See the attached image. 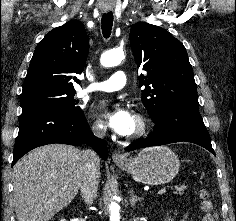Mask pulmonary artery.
I'll return each mask as SVG.
<instances>
[{"mask_svg": "<svg viewBox=\"0 0 236 221\" xmlns=\"http://www.w3.org/2000/svg\"><path fill=\"white\" fill-rule=\"evenodd\" d=\"M127 81V75L124 71H116L106 80L93 83L82 91L83 94L94 91L112 92L122 89Z\"/></svg>", "mask_w": 236, "mask_h": 221, "instance_id": "e3ab8cb5", "label": "pulmonary artery"}]
</instances>
